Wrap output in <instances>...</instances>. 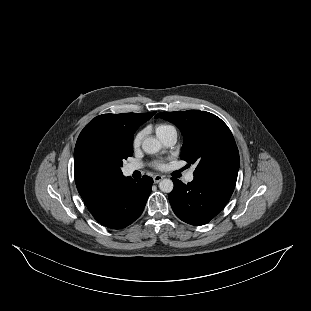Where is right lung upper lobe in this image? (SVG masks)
<instances>
[{
    "label": "right lung upper lobe",
    "mask_w": 311,
    "mask_h": 311,
    "mask_svg": "<svg viewBox=\"0 0 311 311\" xmlns=\"http://www.w3.org/2000/svg\"><path fill=\"white\" fill-rule=\"evenodd\" d=\"M156 112L150 113H125L103 114L95 117L83 130L91 127H100L110 130L123 139L133 142V136L137 128L149 120ZM74 175L78 192L81 196L93 187L118 180L122 174H103L86 170L74 159Z\"/></svg>",
    "instance_id": "right-lung-upper-lobe-1"
}]
</instances>
